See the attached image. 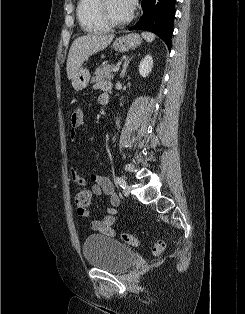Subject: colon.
Listing matches in <instances>:
<instances>
[{
    "label": "colon",
    "mask_w": 245,
    "mask_h": 314,
    "mask_svg": "<svg viewBox=\"0 0 245 314\" xmlns=\"http://www.w3.org/2000/svg\"><path fill=\"white\" fill-rule=\"evenodd\" d=\"M90 202H91V193L88 190L79 191L75 196V204L77 206L78 213L84 214L88 212ZM120 240L132 246L138 245L137 238H135L133 235L127 232H123L120 235ZM165 247H166L165 242L163 241L156 242L155 245L153 246V254L155 255L161 254L163 250L165 249Z\"/></svg>",
    "instance_id": "5ec220e1"
}]
</instances>
